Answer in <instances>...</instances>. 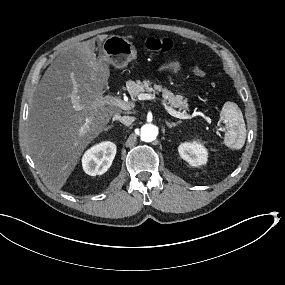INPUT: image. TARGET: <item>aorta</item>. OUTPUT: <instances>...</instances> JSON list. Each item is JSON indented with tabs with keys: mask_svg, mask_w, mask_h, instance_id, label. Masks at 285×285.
Here are the masks:
<instances>
[{
	"mask_svg": "<svg viewBox=\"0 0 285 285\" xmlns=\"http://www.w3.org/2000/svg\"><path fill=\"white\" fill-rule=\"evenodd\" d=\"M158 135V128L153 124H145L141 127L140 137L144 142H152Z\"/></svg>",
	"mask_w": 285,
	"mask_h": 285,
	"instance_id": "aorta-1",
	"label": "aorta"
}]
</instances>
